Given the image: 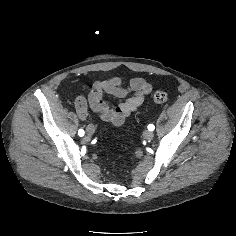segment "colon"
Here are the masks:
<instances>
[{"mask_svg":"<svg viewBox=\"0 0 236 236\" xmlns=\"http://www.w3.org/2000/svg\"><path fill=\"white\" fill-rule=\"evenodd\" d=\"M168 99H169L168 94L163 91H157L153 95L154 102L158 104L165 103Z\"/></svg>","mask_w":236,"mask_h":236,"instance_id":"obj_1","label":"colon"}]
</instances>
